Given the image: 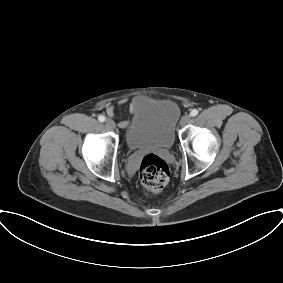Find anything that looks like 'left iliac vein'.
<instances>
[{"label": "left iliac vein", "mask_w": 283, "mask_h": 283, "mask_svg": "<svg viewBox=\"0 0 283 283\" xmlns=\"http://www.w3.org/2000/svg\"><path fill=\"white\" fill-rule=\"evenodd\" d=\"M191 116L189 114H186L181 119V125H186L190 122Z\"/></svg>", "instance_id": "obj_1"}]
</instances>
